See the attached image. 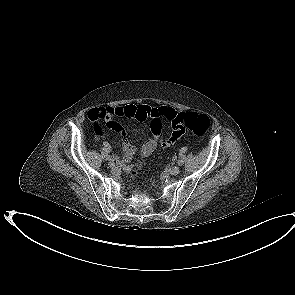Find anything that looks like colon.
I'll return each instance as SVG.
<instances>
[{"mask_svg":"<svg viewBox=\"0 0 295 295\" xmlns=\"http://www.w3.org/2000/svg\"><path fill=\"white\" fill-rule=\"evenodd\" d=\"M155 109V108H152ZM175 124L179 133L185 129H189L198 136H203L209 129L210 119L205 114H199L196 112H185L176 115ZM158 147V142L154 138H149L147 142L143 143L141 152L143 156L151 157L153 150ZM142 166V162L138 163L136 169L132 171V175H136L137 169Z\"/></svg>","mask_w":295,"mask_h":295,"instance_id":"colon-1","label":"colon"}]
</instances>
